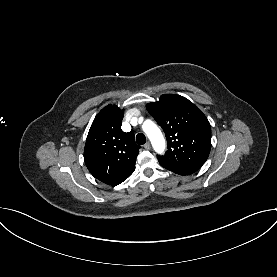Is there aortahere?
I'll use <instances>...</instances> for the list:
<instances>
[{"instance_id":"1","label":"aorta","mask_w":277,"mask_h":277,"mask_svg":"<svg viewBox=\"0 0 277 277\" xmlns=\"http://www.w3.org/2000/svg\"><path fill=\"white\" fill-rule=\"evenodd\" d=\"M143 130L146 132L148 138L150 139L154 150L157 153H163L165 149V140L156 124L152 121L147 120L143 124Z\"/></svg>"}]
</instances>
